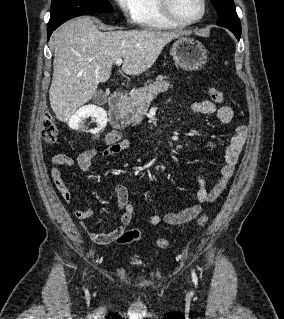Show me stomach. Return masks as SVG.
Wrapping results in <instances>:
<instances>
[{
	"label": "stomach",
	"mask_w": 284,
	"mask_h": 319,
	"mask_svg": "<svg viewBox=\"0 0 284 319\" xmlns=\"http://www.w3.org/2000/svg\"><path fill=\"white\" fill-rule=\"evenodd\" d=\"M205 46L190 37H179L171 48V55L177 65L185 70H198L207 62Z\"/></svg>",
	"instance_id": "1"
}]
</instances>
